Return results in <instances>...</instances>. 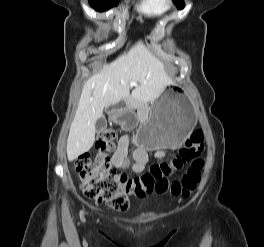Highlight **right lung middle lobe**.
<instances>
[{
    "instance_id": "obj_1",
    "label": "right lung middle lobe",
    "mask_w": 264,
    "mask_h": 247,
    "mask_svg": "<svg viewBox=\"0 0 264 247\" xmlns=\"http://www.w3.org/2000/svg\"><path fill=\"white\" fill-rule=\"evenodd\" d=\"M89 2L96 11L103 12L116 6L119 0H89Z\"/></svg>"
}]
</instances>
